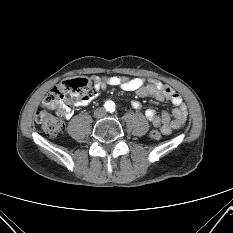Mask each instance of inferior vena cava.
Masks as SVG:
<instances>
[{
  "label": "inferior vena cava",
  "mask_w": 233,
  "mask_h": 233,
  "mask_svg": "<svg viewBox=\"0 0 233 233\" xmlns=\"http://www.w3.org/2000/svg\"><path fill=\"white\" fill-rule=\"evenodd\" d=\"M106 114L105 110L103 108H97L95 111H94V116L95 117H102Z\"/></svg>",
  "instance_id": "inferior-vena-cava-1"
}]
</instances>
